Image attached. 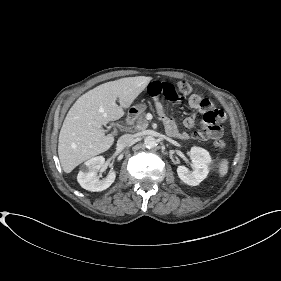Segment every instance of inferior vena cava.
Wrapping results in <instances>:
<instances>
[{
    "label": "inferior vena cava",
    "instance_id": "obj_1",
    "mask_svg": "<svg viewBox=\"0 0 281 281\" xmlns=\"http://www.w3.org/2000/svg\"><path fill=\"white\" fill-rule=\"evenodd\" d=\"M133 141V136L131 134L122 135L117 141V147L124 148L131 144Z\"/></svg>",
    "mask_w": 281,
    "mask_h": 281
}]
</instances>
